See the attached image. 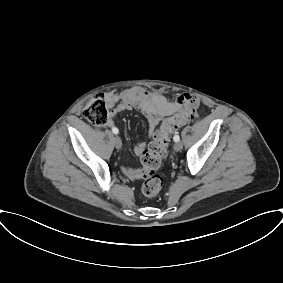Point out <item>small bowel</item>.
I'll list each match as a JSON object with an SVG mask.
<instances>
[{
    "instance_id": "obj_1",
    "label": "small bowel",
    "mask_w": 283,
    "mask_h": 283,
    "mask_svg": "<svg viewBox=\"0 0 283 283\" xmlns=\"http://www.w3.org/2000/svg\"><path fill=\"white\" fill-rule=\"evenodd\" d=\"M110 108V118L108 126L115 124V116L123 111L136 109L140 111L148 121L149 136L155 133L161 120L173 113L186 103L196 99L190 94H181L175 101H169L164 95L158 92H151L141 88H130L121 93H109L105 96ZM146 148V143L142 142L134 147V152L141 155ZM122 172L132 180H137L141 176V171L132 167H122Z\"/></svg>"
}]
</instances>
